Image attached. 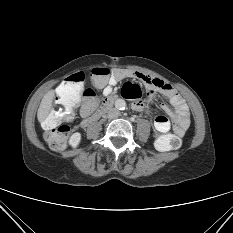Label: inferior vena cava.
<instances>
[{"instance_id":"inferior-vena-cava-1","label":"inferior vena cava","mask_w":233,"mask_h":233,"mask_svg":"<svg viewBox=\"0 0 233 233\" xmlns=\"http://www.w3.org/2000/svg\"><path fill=\"white\" fill-rule=\"evenodd\" d=\"M119 116V112L118 110H116L115 108L111 109L109 112H108V118L109 119H115Z\"/></svg>"}]
</instances>
